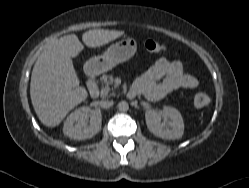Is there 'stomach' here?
I'll return each mask as SVG.
<instances>
[{"instance_id": "stomach-1", "label": "stomach", "mask_w": 249, "mask_h": 188, "mask_svg": "<svg viewBox=\"0 0 249 188\" xmlns=\"http://www.w3.org/2000/svg\"><path fill=\"white\" fill-rule=\"evenodd\" d=\"M137 42L133 38L122 39L112 44L99 56L92 57L85 64V69L90 74L107 72L116 65L129 60L135 54Z\"/></svg>"}]
</instances>
